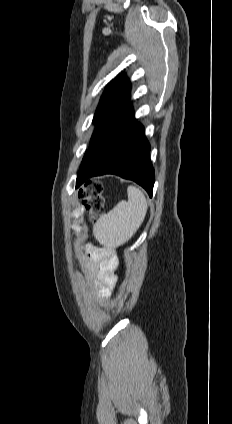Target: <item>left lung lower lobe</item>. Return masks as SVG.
Listing matches in <instances>:
<instances>
[{
  "label": "left lung lower lobe",
  "mask_w": 232,
  "mask_h": 424,
  "mask_svg": "<svg viewBox=\"0 0 232 424\" xmlns=\"http://www.w3.org/2000/svg\"><path fill=\"white\" fill-rule=\"evenodd\" d=\"M149 151L144 128L135 121L132 105L128 104L90 144L76 188L88 184L92 176L116 174L137 182L152 197L155 177Z\"/></svg>",
  "instance_id": "1"
}]
</instances>
